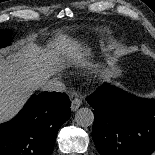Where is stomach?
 <instances>
[{
	"label": "stomach",
	"instance_id": "0dacf381",
	"mask_svg": "<svg viewBox=\"0 0 155 155\" xmlns=\"http://www.w3.org/2000/svg\"><path fill=\"white\" fill-rule=\"evenodd\" d=\"M105 71L108 74V78L118 79L121 77L123 70L117 60L111 59L108 61V66L106 67Z\"/></svg>",
	"mask_w": 155,
	"mask_h": 155
}]
</instances>
